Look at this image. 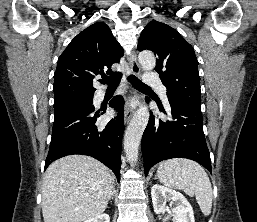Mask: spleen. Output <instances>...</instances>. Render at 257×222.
Wrapping results in <instances>:
<instances>
[{
    "instance_id": "spleen-1",
    "label": "spleen",
    "mask_w": 257,
    "mask_h": 222,
    "mask_svg": "<svg viewBox=\"0 0 257 222\" xmlns=\"http://www.w3.org/2000/svg\"><path fill=\"white\" fill-rule=\"evenodd\" d=\"M157 177L167 187L183 190L196 197L201 212L208 216L212 208V187L205 170L188 159H169L160 163Z\"/></svg>"
}]
</instances>
